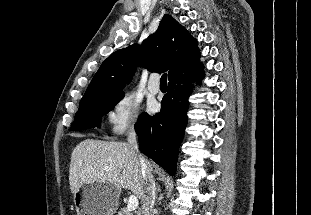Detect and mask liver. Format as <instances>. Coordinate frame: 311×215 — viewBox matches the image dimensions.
<instances>
[{
    "label": "liver",
    "mask_w": 311,
    "mask_h": 215,
    "mask_svg": "<svg viewBox=\"0 0 311 215\" xmlns=\"http://www.w3.org/2000/svg\"><path fill=\"white\" fill-rule=\"evenodd\" d=\"M149 169L152 165L147 162ZM101 181L144 197L145 179L128 143L86 139L71 154L69 184L73 194L87 181Z\"/></svg>",
    "instance_id": "1"
}]
</instances>
